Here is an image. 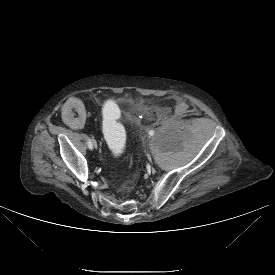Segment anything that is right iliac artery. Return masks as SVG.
<instances>
[{
  "instance_id": "82829eb1",
  "label": "right iliac artery",
  "mask_w": 275,
  "mask_h": 275,
  "mask_svg": "<svg viewBox=\"0 0 275 275\" xmlns=\"http://www.w3.org/2000/svg\"><path fill=\"white\" fill-rule=\"evenodd\" d=\"M87 144H88L89 149H93V145H92V142H91L90 139L88 140V143H87Z\"/></svg>"
}]
</instances>
